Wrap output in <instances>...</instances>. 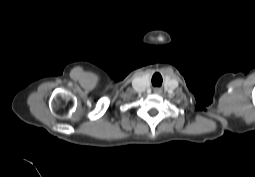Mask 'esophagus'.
I'll use <instances>...</instances> for the list:
<instances>
[{"instance_id": "1", "label": "esophagus", "mask_w": 255, "mask_h": 177, "mask_svg": "<svg viewBox=\"0 0 255 177\" xmlns=\"http://www.w3.org/2000/svg\"><path fill=\"white\" fill-rule=\"evenodd\" d=\"M160 92H161V90L159 88L154 89V93H160Z\"/></svg>"}]
</instances>
